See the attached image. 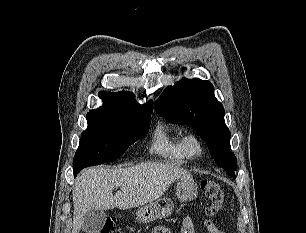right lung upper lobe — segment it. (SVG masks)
Returning <instances> with one entry per match:
<instances>
[{"instance_id": "right-lung-upper-lobe-1", "label": "right lung upper lobe", "mask_w": 306, "mask_h": 233, "mask_svg": "<svg viewBox=\"0 0 306 233\" xmlns=\"http://www.w3.org/2000/svg\"><path fill=\"white\" fill-rule=\"evenodd\" d=\"M99 97L105 105L90 112H110L123 115H149L153 112L152 101L139 105L134 101L133 95L129 92L112 93L101 91L99 92Z\"/></svg>"}]
</instances>
